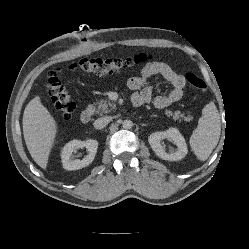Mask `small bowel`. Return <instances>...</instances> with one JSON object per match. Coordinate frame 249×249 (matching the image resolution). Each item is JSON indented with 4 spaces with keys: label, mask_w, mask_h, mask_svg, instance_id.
Returning a JSON list of instances; mask_svg holds the SVG:
<instances>
[{
    "label": "small bowel",
    "mask_w": 249,
    "mask_h": 249,
    "mask_svg": "<svg viewBox=\"0 0 249 249\" xmlns=\"http://www.w3.org/2000/svg\"><path fill=\"white\" fill-rule=\"evenodd\" d=\"M154 75L161 76L172 85V90L169 93L157 95L153 99V103L157 108L169 107L183 97L186 83L185 77L175 72L166 63L154 61L145 65L139 76L131 77L127 82L129 89L134 91L132 96L134 105L141 106L152 101L153 87L145 84Z\"/></svg>",
    "instance_id": "small-bowel-1"
}]
</instances>
